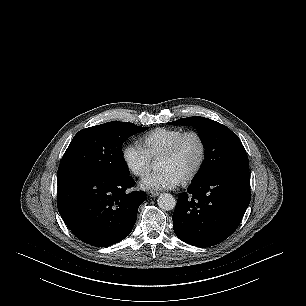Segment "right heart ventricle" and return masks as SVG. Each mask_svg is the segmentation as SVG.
I'll list each match as a JSON object with an SVG mask.
<instances>
[{"mask_svg": "<svg viewBox=\"0 0 306 306\" xmlns=\"http://www.w3.org/2000/svg\"><path fill=\"white\" fill-rule=\"evenodd\" d=\"M184 132L178 128H156L141 137V143L153 159H160L171 144Z\"/></svg>", "mask_w": 306, "mask_h": 306, "instance_id": "1", "label": "right heart ventricle"}]
</instances>
